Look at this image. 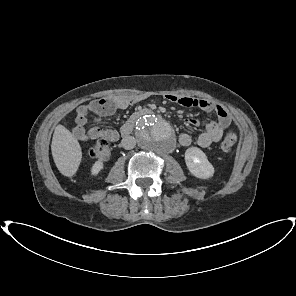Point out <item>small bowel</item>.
I'll list each match as a JSON object with an SVG mask.
<instances>
[{
    "instance_id": "small-bowel-1",
    "label": "small bowel",
    "mask_w": 296,
    "mask_h": 296,
    "mask_svg": "<svg viewBox=\"0 0 296 296\" xmlns=\"http://www.w3.org/2000/svg\"><path fill=\"white\" fill-rule=\"evenodd\" d=\"M166 99L169 102L176 103L183 107L198 108L204 112L215 115L216 120L204 123V131L197 137L196 142L202 148H207L211 144L218 142L224 130L231 123V117L228 111L223 106L209 100L176 95H167ZM136 101H138V99L115 96L97 99L90 102L88 105L79 107L77 110L76 125L72 128L73 135L80 141H90L99 138L111 142L117 141L120 137V132L116 129L99 127L85 129L86 116L89 112L98 116H109L117 110L126 109ZM186 124L197 126L200 122L195 118H189L186 120ZM178 141L180 145L187 147L192 143V136L189 133L183 132L179 135Z\"/></svg>"
}]
</instances>
